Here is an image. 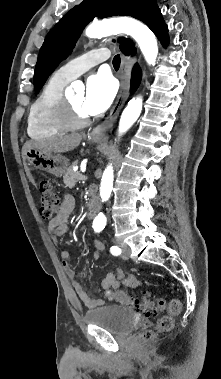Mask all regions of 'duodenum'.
I'll return each instance as SVG.
<instances>
[{
	"instance_id": "obj_1",
	"label": "duodenum",
	"mask_w": 221,
	"mask_h": 379,
	"mask_svg": "<svg viewBox=\"0 0 221 379\" xmlns=\"http://www.w3.org/2000/svg\"><path fill=\"white\" fill-rule=\"evenodd\" d=\"M99 209V199L98 197L92 193L89 206H88V216L93 217Z\"/></svg>"
}]
</instances>
